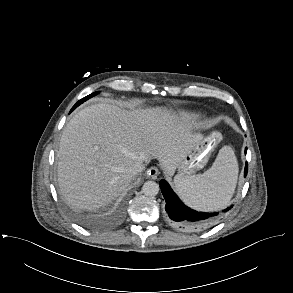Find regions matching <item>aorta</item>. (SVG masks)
I'll list each match as a JSON object with an SVG mask.
<instances>
[{"label": "aorta", "instance_id": "obj_1", "mask_svg": "<svg viewBox=\"0 0 293 293\" xmlns=\"http://www.w3.org/2000/svg\"><path fill=\"white\" fill-rule=\"evenodd\" d=\"M159 189V185L155 181H146L142 186V192L150 197L156 196Z\"/></svg>", "mask_w": 293, "mask_h": 293}]
</instances>
